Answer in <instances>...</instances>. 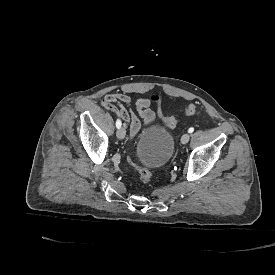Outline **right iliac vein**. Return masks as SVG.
Listing matches in <instances>:
<instances>
[{"mask_svg": "<svg viewBox=\"0 0 275 275\" xmlns=\"http://www.w3.org/2000/svg\"><path fill=\"white\" fill-rule=\"evenodd\" d=\"M125 135H126V131L123 127H120L118 130H117V137L118 139L122 140L125 138Z\"/></svg>", "mask_w": 275, "mask_h": 275, "instance_id": "obj_1", "label": "right iliac vein"}]
</instances>
